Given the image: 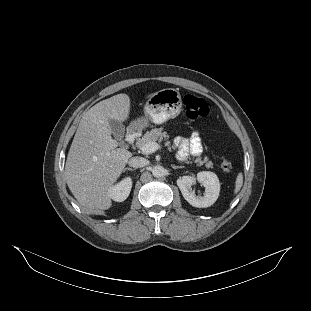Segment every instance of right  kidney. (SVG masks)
I'll list each match as a JSON object with an SVG mask.
<instances>
[{
  "mask_svg": "<svg viewBox=\"0 0 311 311\" xmlns=\"http://www.w3.org/2000/svg\"><path fill=\"white\" fill-rule=\"evenodd\" d=\"M131 188L132 179L130 177H126L108 189V196L116 202H123L129 196Z\"/></svg>",
  "mask_w": 311,
  "mask_h": 311,
  "instance_id": "right-kidney-1",
  "label": "right kidney"
}]
</instances>
